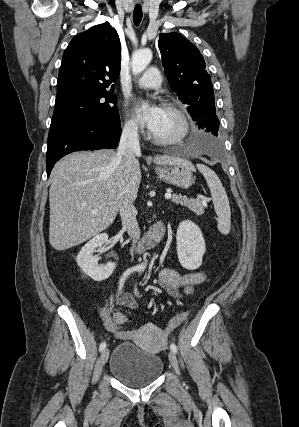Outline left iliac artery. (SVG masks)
I'll list each match as a JSON object with an SVG mask.
<instances>
[{
  "mask_svg": "<svg viewBox=\"0 0 299 427\" xmlns=\"http://www.w3.org/2000/svg\"><path fill=\"white\" fill-rule=\"evenodd\" d=\"M134 292H135V294H136V295H138V296H139V292H138V290H137V287H136V286H135V290H134ZM170 348H171V350H172L173 352L177 353L178 348H177V346H176L174 343H172V344L170 345Z\"/></svg>",
  "mask_w": 299,
  "mask_h": 427,
  "instance_id": "left-iliac-artery-1",
  "label": "left iliac artery"
}]
</instances>
